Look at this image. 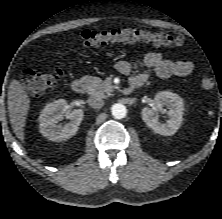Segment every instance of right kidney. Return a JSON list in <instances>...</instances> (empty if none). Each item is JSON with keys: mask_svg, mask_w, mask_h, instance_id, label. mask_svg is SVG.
I'll list each match as a JSON object with an SVG mask.
<instances>
[{"mask_svg": "<svg viewBox=\"0 0 222 219\" xmlns=\"http://www.w3.org/2000/svg\"><path fill=\"white\" fill-rule=\"evenodd\" d=\"M65 115L70 121L65 125H58V121ZM84 112L81 109L67 111V102L59 99L48 103L39 116V131L51 141H62L71 138L78 131Z\"/></svg>", "mask_w": 222, "mask_h": 219, "instance_id": "1", "label": "right kidney"}]
</instances>
